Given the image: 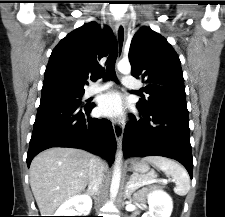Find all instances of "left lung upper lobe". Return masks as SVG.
Here are the masks:
<instances>
[{"mask_svg":"<svg viewBox=\"0 0 225 217\" xmlns=\"http://www.w3.org/2000/svg\"><path fill=\"white\" fill-rule=\"evenodd\" d=\"M129 61L131 75L146 84L136 104L141 110H149L157 105H186L183 72L180 59L160 34L150 27H141L133 36Z\"/></svg>","mask_w":225,"mask_h":217,"instance_id":"1","label":"left lung upper lobe"}]
</instances>
